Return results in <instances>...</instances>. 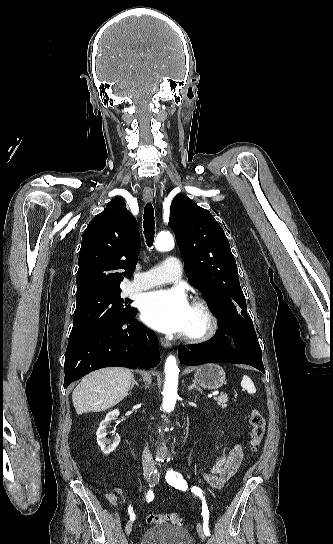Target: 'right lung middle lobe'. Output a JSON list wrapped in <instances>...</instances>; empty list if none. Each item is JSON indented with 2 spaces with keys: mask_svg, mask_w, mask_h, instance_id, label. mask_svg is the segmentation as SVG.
<instances>
[{
  "mask_svg": "<svg viewBox=\"0 0 333 544\" xmlns=\"http://www.w3.org/2000/svg\"><path fill=\"white\" fill-rule=\"evenodd\" d=\"M121 290L107 291L76 299L69 341L83 337L111 323L119 322L135 308L120 296Z\"/></svg>",
  "mask_w": 333,
  "mask_h": 544,
  "instance_id": "obj_1",
  "label": "right lung middle lobe"
}]
</instances>
